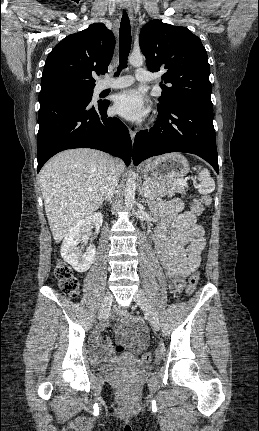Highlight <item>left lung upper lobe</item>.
Segmentation results:
<instances>
[{"instance_id": "obj_1", "label": "left lung upper lobe", "mask_w": 259, "mask_h": 431, "mask_svg": "<svg viewBox=\"0 0 259 431\" xmlns=\"http://www.w3.org/2000/svg\"><path fill=\"white\" fill-rule=\"evenodd\" d=\"M139 44L147 67L155 72L165 70L159 105L177 100H197L212 105L210 66L207 52L200 40L188 28L172 26L160 20L145 24Z\"/></svg>"}]
</instances>
